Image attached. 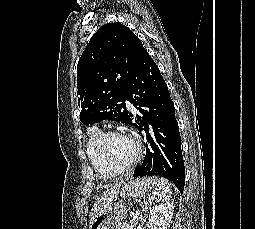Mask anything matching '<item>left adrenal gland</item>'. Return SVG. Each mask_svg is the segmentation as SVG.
Listing matches in <instances>:
<instances>
[{
	"mask_svg": "<svg viewBox=\"0 0 255 229\" xmlns=\"http://www.w3.org/2000/svg\"><path fill=\"white\" fill-rule=\"evenodd\" d=\"M148 207H149V202H147L146 200H144V201L141 203V210H142V212H146V210H148Z\"/></svg>",
	"mask_w": 255,
	"mask_h": 229,
	"instance_id": "a2214340",
	"label": "left adrenal gland"
}]
</instances>
